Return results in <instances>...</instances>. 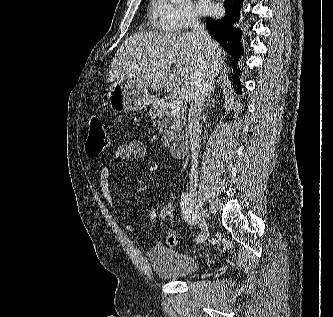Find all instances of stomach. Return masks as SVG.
Masks as SVG:
<instances>
[{
  "instance_id": "obj_1",
  "label": "stomach",
  "mask_w": 333,
  "mask_h": 317,
  "mask_svg": "<svg viewBox=\"0 0 333 317\" xmlns=\"http://www.w3.org/2000/svg\"><path fill=\"white\" fill-rule=\"evenodd\" d=\"M107 97L110 106L117 112L141 110L154 100L146 87L128 78L115 80L109 87Z\"/></svg>"
}]
</instances>
